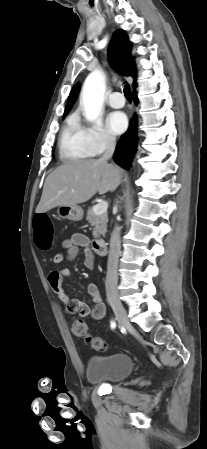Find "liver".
<instances>
[{
  "label": "liver",
  "instance_id": "obj_1",
  "mask_svg": "<svg viewBox=\"0 0 207 449\" xmlns=\"http://www.w3.org/2000/svg\"><path fill=\"white\" fill-rule=\"evenodd\" d=\"M120 182V169L101 159L65 163L47 177L36 213H45L60 205L84 203L96 192H113Z\"/></svg>",
  "mask_w": 207,
  "mask_h": 449
}]
</instances>
